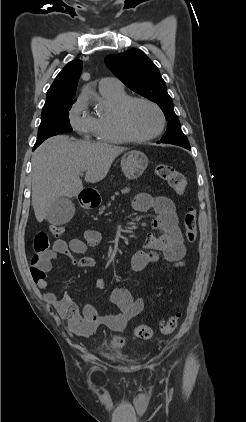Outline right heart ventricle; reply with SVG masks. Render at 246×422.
<instances>
[{
	"mask_svg": "<svg viewBox=\"0 0 246 422\" xmlns=\"http://www.w3.org/2000/svg\"><path fill=\"white\" fill-rule=\"evenodd\" d=\"M101 95L107 105V110L95 118V136L100 142L122 144L131 140L120 129L116 111L120 104L130 98L122 89L100 90Z\"/></svg>",
	"mask_w": 246,
	"mask_h": 422,
	"instance_id": "obj_1",
	"label": "right heart ventricle"
}]
</instances>
